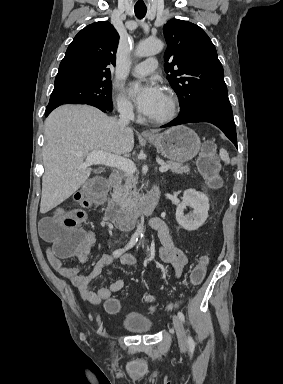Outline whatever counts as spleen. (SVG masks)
I'll return each instance as SVG.
<instances>
[{"instance_id":"1","label":"spleen","mask_w":283,"mask_h":384,"mask_svg":"<svg viewBox=\"0 0 283 384\" xmlns=\"http://www.w3.org/2000/svg\"><path fill=\"white\" fill-rule=\"evenodd\" d=\"M219 156H220L221 160H223V162H225V164H230L229 156H228L226 150H224V148H221V150H219Z\"/></svg>"}]
</instances>
